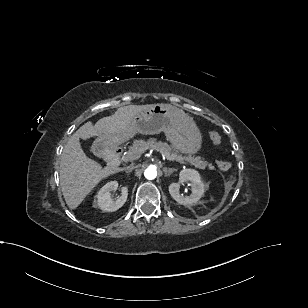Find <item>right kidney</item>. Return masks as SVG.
<instances>
[{"instance_id":"1","label":"right kidney","mask_w":308,"mask_h":308,"mask_svg":"<svg viewBox=\"0 0 308 308\" xmlns=\"http://www.w3.org/2000/svg\"><path fill=\"white\" fill-rule=\"evenodd\" d=\"M118 188L117 181H111L105 184L96 195L98 207L105 212H113L121 208L128 196L127 186L121 188V196L118 197L115 201L111 199L110 193L116 191Z\"/></svg>"}]
</instances>
